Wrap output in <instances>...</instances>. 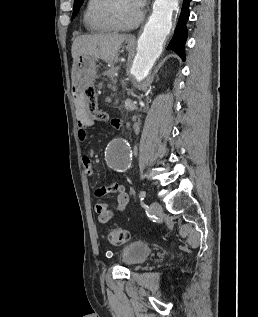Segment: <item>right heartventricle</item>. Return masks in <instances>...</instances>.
I'll use <instances>...</instances> for the list:
<instances>
[{
    "instance_id": "1",
    "label": "right heart ventricle",
    "mask_w": 258,
    "mask_h": 317,
    "mask_svg": "<svg viewBox=\"0 0 258 317\" xmlns=\"http://www.w3.org/2000/svg\"><path fill=\"white\" fill-rule=\"evenodd\" d=\"M104 0H87L83 12V20L88 31L96 34H105L112 31L111 28L101 23L97 16V7Z\"/></svg>"
}]
</instances>
